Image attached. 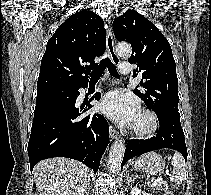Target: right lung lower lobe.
<instances>
[{
    "label": "right lung lower lobe",
    "mask_w": 211,
    "mask_h": 195,
    "mask_svg": "<svg viewBox=\"0 0 211 195\" xmlns=\"http://www.w3.org/2000/svg\"><path fill=\"white\" fill-rule=\"evenodd\" d=\"M83 85H69L37 94L28 143L30 170L43 159L66 157L78 160L97 172L108 145L109 126L100 114L81 116L90 103L75 107ZM96 93L92 100H100Z\"/></svg>",
    "instance_id": "right-lung-lower-lobe-1"
}]
</instances>
